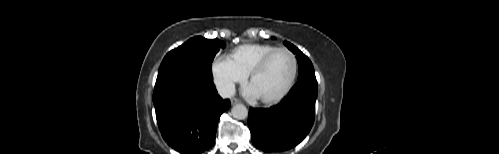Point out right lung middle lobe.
I'll use <instances>...</instances> for the list:
<instances>
[{"mask_svg": "<svg viewBox=\"0 0 499 154\" xmlns=\"http://www.w3.org/2000/svg\"><path fill=\"white\" fill-rule=\"evenodd\" d=\"M221 48H225V44L218 39L191 38L164 57L156 81L183 72L204 71L212 74V61Z\"/></svg>", "mask_w": 499, "mask_h": 154, "instance_id": "obj_1", "label": "right lung middle lobe"}]
</instances>
